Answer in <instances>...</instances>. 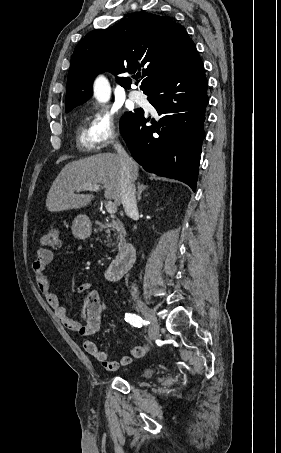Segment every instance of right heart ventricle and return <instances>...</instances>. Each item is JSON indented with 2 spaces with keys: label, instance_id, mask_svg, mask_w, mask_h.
<instances>
[{
  "label": "right heart ventricle",
  "instance_id": "right-heart-ventricle-1",
  "mask_svg": "<svg viewBox=\"0 0 281 453\" xmlns=\"http://www.w3.org/2000/svg\"><path fill=\"white\" fill-rule=\"evenodd\" d=\"M76 141L78 149L84 153H93L99 148V142L93 136L90 127H86L85 120L78 126Z\"/></svg>",
  "mask_w": 281,
  "mask_h": 453
}]
</instances>
